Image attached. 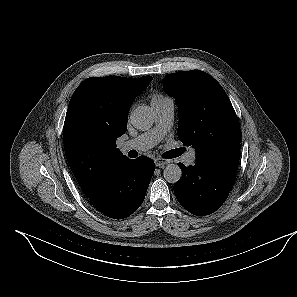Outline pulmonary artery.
I'll use <instances>...</instances> for the list:
<instances>
[{"label": "pulmonary artery", "mask_w": 297, "mask_h": 297, "mask_svg": "<svg viewBox=\"0 0 297 297\" xmlns=\"http://www.w3.org/2000/svg\"><path fill=\"white\" fill-rule=\"evenodd\" d=\"M155 113V126L138 135L137 137L124 142L121 145L123 152L129 150L144 151L154 147L169 131L174 117V102L171 98L165 97L161 100L151 101ZM196 159L195 149H191L185 156L186 164H193Z\"/></svg>", "instance_id": "pulmonary-artery-1"}]
</instances>
